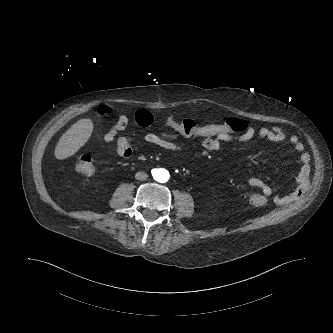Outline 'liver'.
I'll list each match as a JSON object with an SVG mask.
<instances>
[{"label":"liver","mask_w":333,"mask_h":333,"mask_svg":"<svg viewBox=\"0 0 333 333\" xmlns=\"http://www.w3.org/2000/svg\"><path fill=\"white\" fill-rule=\"evenodd\" d=\"M94 125L91 119H80L59 139L54 155L58 160L73 156L92 135Z\"/></svg>","instance_id":"liver-1"}]
</instances>
